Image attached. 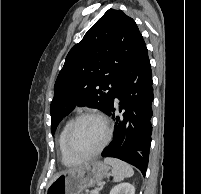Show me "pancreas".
Listing matches in <instances>:
<instances>
[{
  "label": "pancreas",
  "instance_id": "1",
  "mask_svg": "<svg viewBox=\"0 0 201 194\" xmlns=\"http://www.w3.org/2000/svg\"><path fill=\"white\" fill-rule=\"evenodd\" d=\"M85 194H92V191H91L90 193L87 192V193H85Z\"/></svg>",
  "mask_w": 201,
  "mask_h": 194
}]
</instances>
